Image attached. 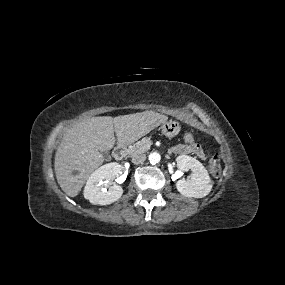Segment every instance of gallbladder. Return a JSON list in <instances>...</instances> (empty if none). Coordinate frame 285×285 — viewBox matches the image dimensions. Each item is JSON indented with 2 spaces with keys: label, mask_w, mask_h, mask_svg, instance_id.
I'll use <instances>...</instances> for the list:
<instances>
[{
  "label": "gallbladder",
  "mask_w": 285,
  "mask_h": 285,
  "mask_svg": "<svg viewBox=\"0 0 285 285\" xmlns=\"http://www.w3.org/2000/svg\"><path fill=\"white\" fill-rule=\"evenodd\" d=\"M102 154H103V157H104L105 160H110L111 159V156L109 155L108 152L104 151Z\"/></svg>",
  "instance_id": "obj_1"
}]
</instances>
